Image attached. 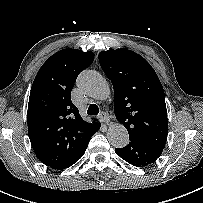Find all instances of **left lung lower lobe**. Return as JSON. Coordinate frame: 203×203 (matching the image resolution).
Segmentation results:
<instances>
[{
    "label": "left lung lower lobe",
    "instance_id": "obj_1",
    "mask_svg": "<svg viewBox=\"0 0 203 203\" xmlns=\"http://www.w3.org/2000/svg\"><path fill=\"white\" fill-rule=\"evenodd\" d=\"M130 142L123 148H116L115 152L131 165L142 167L155 162L163 149L151 146L138 138H129Z\"/></svg>",
    "mask_w": 203,
    "mask_h": 203
}]
</instances>
